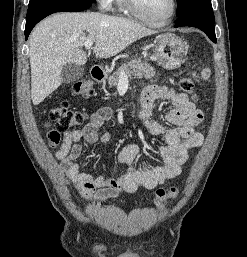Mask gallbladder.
<instances>
[{"label": "gallbladder", "mask_w": 247, "mask_h": 257, "mask_svg": "<svg viewBox=\"0 0 247 257\" xmlns=\"http://www.w3.org/2000/svg\"><path fill=\"white\" fill-rule=\"evenodd\" d=\"M84 75V68L72 63H66L62 66L61 77L62 82L69 84L82 78Z\"/></svg>", "instance_id": "gallbladder-1"}]
</instances>
